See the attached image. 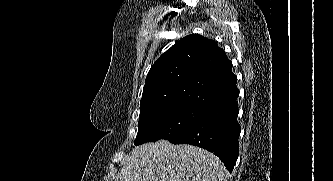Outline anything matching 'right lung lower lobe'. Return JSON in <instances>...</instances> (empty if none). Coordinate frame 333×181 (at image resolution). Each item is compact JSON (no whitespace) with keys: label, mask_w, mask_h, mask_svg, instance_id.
<instances>
[{"label":"right lung lower lobe","mask_w":333,"mask_h":181,"mask_svg":"<svg viewBox=\"0 0 333 181\" xmlns=\"http://www.w3.org/2000/svg\"><path fill=\"white\" fill-rule=\"evenodd\" d=\"M237 97L207 107L191 127L169 141L173 144L195 145L213 152L232 172L238 158L241 131L237 121Z\"/></svg>","instance_id":"98d812e1"}]
</instances>
